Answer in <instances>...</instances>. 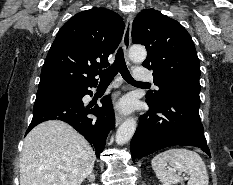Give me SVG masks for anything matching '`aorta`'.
Wrapping results in <instances>:
<instances>
[{
  "instance_id": "762f6f07",
  "label": "aorta",
  "mask_w": 233,
  "mask_h": 185,
  "mask_svg": "<svg viewBox=\"0 0 233 185\" xmlns=\"http://www.w3.org/2000/svg\"><path fill=\"white\" fill-rule=\"evenodd\" d=\"M147 52L145 47L133 45L129 50V57L134 62H143L146 59ZM136 120L128 118L118 128L116 132V143L122 145L130 141L136 130Z\"/></svg>"
}]
</instances>
